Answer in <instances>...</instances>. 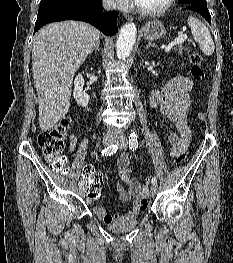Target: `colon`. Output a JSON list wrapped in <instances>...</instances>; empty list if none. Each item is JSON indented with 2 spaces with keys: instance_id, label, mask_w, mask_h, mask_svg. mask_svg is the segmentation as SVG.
<instances>
[{
  "instance_id": "colon-1",
  "label": "colon",
  "mask_w": 233,
  "mask_h": 263,
  "mask_svg": "<svg viewBox=\"0 0 233 263\" xmlns=\"http://www.w3.org/2000/svg\"><path fill=\"white\" fill-rule=\"evenodd\" d=\"M191 75L194 80L201 81L204 79V71L202 68V57L199 53L190 54ZM70 119L64 118L58 121L50 130L44 131L38 136V144L42 150L43 156L50 167L57 172L65 170L66 157L64 156L65 139L70 129ZM186 159V152H181L175 157V162L180 164ZM82 180H86L87 189L83 194L88 195V199L97 202L99 199V191L102 186V175H97V171H82ZM149 180L145 186L148 187Z\"/></svg>"
}]
</instances>
